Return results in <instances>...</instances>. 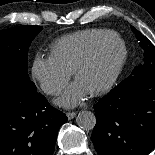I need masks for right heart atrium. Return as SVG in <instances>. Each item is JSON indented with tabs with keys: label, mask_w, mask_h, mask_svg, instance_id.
<instances>
[{
	"label": "right heart atrium",
	"mask_w": 155,
	"mask_h": 155,
	"mask_svg": "<svg viewBox=\"0 0 155 155\" xmlns=\"http://www.w3.org/2000/svg\"><path fill=\"white\" fill-rule=\"evenodd\" d=\"M33 77L49 95H58L67 86L70 72L58 64L51 55H37L32 66Z\"/></svg>",
	"instance_id": "1"
}]
</instances>
